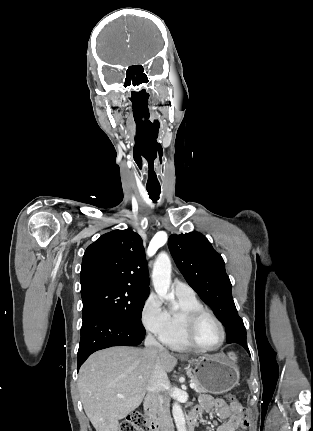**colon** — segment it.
<instances>
[{"mask_svg": "<svg viewBox=\"0 0 313 431\" xmlns=\"http://www.w3.org/2000/svg\"><path fill=\"white\" fill-rule=\"evenodd\" d=\"M226 399L232 403L236 402V396L233 393H228ZM149 429L147 413L134 412L121 423L119 431H148Z\"/></svg>", "mask_w": 313, "mask_h": 431, "instance_id": "colon-1", "label": "colon"}]
</instances>
